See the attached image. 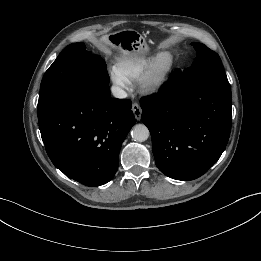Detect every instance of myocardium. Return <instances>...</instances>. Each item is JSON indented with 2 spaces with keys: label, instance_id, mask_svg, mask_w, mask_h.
Returning <instances> with one entry per match:
<instances>
[{
  "label": "myocardium",
  "instance_id": "1",
  "mask_svg": "<svg viewBox=\"0 0 261 261\" xmlns=\"http://www.w3.org/2000/svg\"><path fill=\"white\" fill-rule=\"evenodd\" d=\"M173 67V55L169 51L158 52L139 79L141 92L144 94L159 92L168 81Z\"/></svg>",
  "mask_w": 261,
  "mask_h": 261
}]
</instances>
